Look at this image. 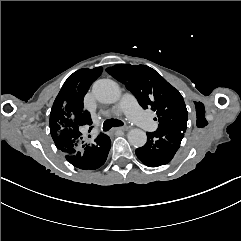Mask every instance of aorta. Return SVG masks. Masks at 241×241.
<instances>
[{
    "label": "aorta",
    "instance_id": "aorta-1",
    "mask_svg": "<svg viewBox=\"0 0 241 241\" xmlns=\"http://www.w3.org/2000/svg\"><path fill=\"white\" fill-rule=\"evenodd\" d=\"M94 97L102 103L111 104L120 99L121 89L119 85L110 79H100L93 85ZM128 141L134 147H142L147 141L146 133L141 129H131L128 132Z\"/></svg>",
    "mask_w": 241,
    "mask_h": 241
}]
</instances>
